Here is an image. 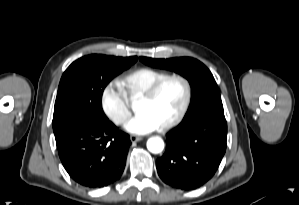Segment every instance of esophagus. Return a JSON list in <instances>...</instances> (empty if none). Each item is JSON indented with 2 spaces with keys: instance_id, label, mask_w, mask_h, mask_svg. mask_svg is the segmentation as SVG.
<instances>
[{
  "instance_id": "esophagus-1",
  "label": "esophagus",
  "mask_w": 299,
  "mask_h": 205,
  "mask_svg": "<svg viewBox=\"0 0 299 205\" xmlns=\"http://www.w3.org/2000/svg\"><path fill=\"white\" fill-rule=\"evenodd\" d=\"M130 140H131V142H138V141L142 140V137L136 136V135H131Z\"/></svg>"
}]
</instances>
